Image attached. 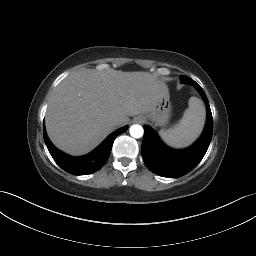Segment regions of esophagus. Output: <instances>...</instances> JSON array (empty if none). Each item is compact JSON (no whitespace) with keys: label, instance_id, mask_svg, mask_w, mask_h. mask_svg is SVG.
Masks as SVG:
<instances>
[{"label":"esophagus","instance_id":"34e87169","mask_svg":"<svg viewBox=\"0 0 256 256\" xmlns=\"http://www.w3.org/2000/svg\"><path fill=\"white\" fill-rule=\"evenodd\" d=\"M136 122H138V123H142V122H143V118H141V117H137Z\"/></svg>","mask_w":256,"mask_h":256}]
</instances>
